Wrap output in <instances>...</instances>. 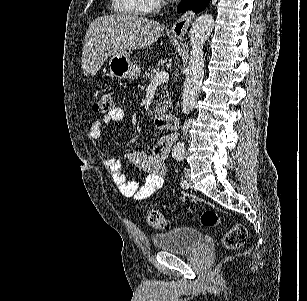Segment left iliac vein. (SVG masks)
Segmentation results:
<instances>
[{
    "instance_id": "4c4485c4",
    "label": "left iliac vein",
    "mask_w": 307,
    "mask_h": 301,
    "mask_svg": "<svg viewBox=\"0 0 307 301\" xmlns=\"http://www.w3.org/2000/svg\"><path fill=\"white\" fill-rule=\"evenodd\" d=\"M184 174H185V177L187 179V185L185 186V188H187V189L191 188L192 185H191V180H190V171L185 169Z\"/></svg>"
}]
</instances>
